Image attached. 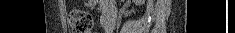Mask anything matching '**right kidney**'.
I'll list each match as a JSON object with an SVG mask.
<instances>
[{"mask_svg": "<svg viewBox=\"0 0 235 33\" xmlns=\"http://www.w3.org/2000/svg\"><path fill=\"white\" fill-rule=\"evenodd\" d=\"M133 2L136 4V5H140L144 2V0H133ZM134 13V9H132L131 11H121V13L125 14V15H128V14H131V13Z\"/></svg>", "mask_w": 235, "mask_h": 33, "instance_id": "obj_1", "label": "right kidney"}]
</instances>
